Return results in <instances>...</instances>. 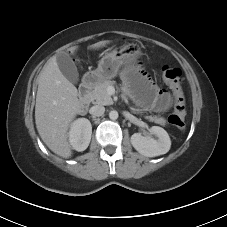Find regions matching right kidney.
Listing matches in <instances>:
<instances>
[{"label": "right kidney", "mask_w": 227, "mask_h": 227, "mask_svg": "<svg viewBox=\"0 0 227 227\" xmlns=\"http://www.w3.org/2000/svg\"><path fill=\"white\" fill-rule=\"evenodd\" d=\"M92 126L88 119L79 118L70 127L69 142L76 151H84L90 143Z\"/></svg>", "instance_id": "1"}]
</instances>
